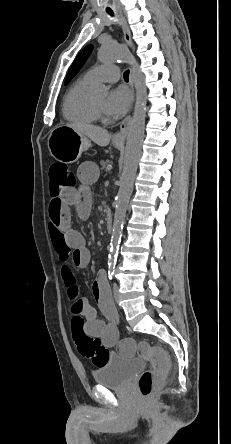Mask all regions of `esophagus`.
<instances>
[{"label": "esophagus", "instance_id": "34e87169", "mask_svg": "<svg viewBox=\"0 0 231 444\" xmlns=\"http://www.w3.org/2000/svg\"><path fill=\"white\" fill-rule=\"evenodd\" d=\"M119 15H120V19H121L122 28H123L124 39L129 45H131L130 31H129V27L126 22V19L121 13ZM130 86H131L132 92L134 93L132 70L130 72ZM130 124H131V116H127L120 124V130L114 135V137H113L114 142L124 143L126 136L128 134L129 128H130Z\"/></svg>", "mask_w": 231, "mask_h": 444}]
</instances>
